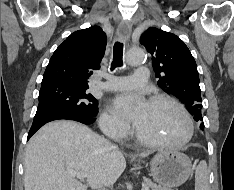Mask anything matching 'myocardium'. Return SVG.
<instances>
[{
  "label": "myocardium",
  "instance_id": "myocardium-1",
  "mask_svg": "<svg viewBox=\"0 0 234 190\" xmlns=\"http://www.w3.org/2000/svg\"><path fill=\"white\" fill-rule=\"evenodd\" d=\"M158 101L168 102L181 113L186 123L185 135L178 140H153L143 136L141 132L138 130L137 126H135L134 133L137 140L140 143L150 147H180L187 144L192 139L194 133L193 121L187 109L177 99H175L174 97L168 94H163V93L155 94L149 99V103H154Z\"/></svg>",
  "mask_w": 234,
  "mask_h": 190
}]
</instances>
